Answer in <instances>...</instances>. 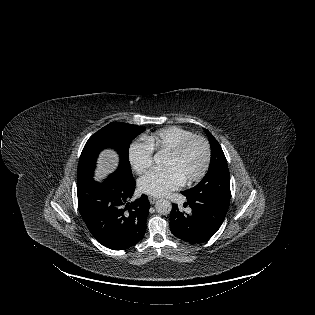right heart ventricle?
Returning a JSON list of instances; mask_svg holds the SVG:
<instances>
[{
    "instance_id": "1",
    "label": "right heart ventricle",
    "mask_w": 315,
    "mask_h": 315,
    "mask_svg": "<svg viewBox=\"0 0 315 315\" xmlns=\"http://www.w3.org/2000/svg\"><path fill=\"white\" fill-rule=\"evenodd\" d=\"M194 133L180 126H168L159 129L147 137L153 148L169 151L183 140L193 136Z\"/></svg>"
}]
</instances>
